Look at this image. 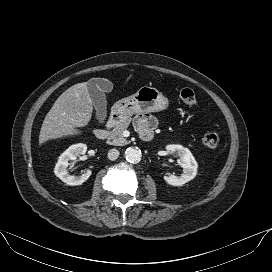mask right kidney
<instances>
[{"label":"right kidney","instance_id":"obj_1","mask_svg":"<svg viewBox=\"0 0 272 272\" xmlns=\"http://www.w3.org/2000/svg\"><path fill=\"white\" fill-rule=\"evenodd\" d=\"M86 151H87V146L86 144H83V143L70 146L65 152H63L60 155L54 169L55 175L59 177L63 182H65L67 185H71V186L81 185L85 181H87L88 178L92 174L91 170L89 169L86 170L80 176H72L67 171L69 161L77 159L80 155L85 154Z\"/></svg>","mask_w":272,"mask_h":272}]
</instances>
